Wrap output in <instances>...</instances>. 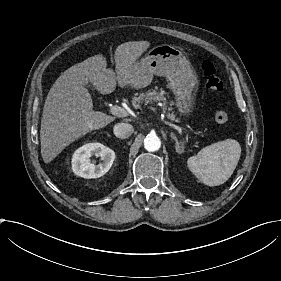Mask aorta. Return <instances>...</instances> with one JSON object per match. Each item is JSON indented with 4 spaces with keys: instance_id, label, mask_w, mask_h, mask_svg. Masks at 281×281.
<instances>
[{
    "instance_id": "762f6f07",
    "label": "aorta",
    "mask_w": 281,
    "mask_h": 281,
    "mask_svg": "<svg viewBox=\"0 0 281 281\" xmlns=\"http://www.w3.org/2000/svg\"><path fill=\"white\" fill-rule=\"evenodd\" d=\"M144 147L149 152L157 151L161 147V141L157 135L149 134L144 139Z\"/></svg>"
}]
</instances>
